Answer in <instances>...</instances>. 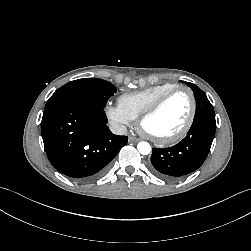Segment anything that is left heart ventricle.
<instances>
[{
  "mask_svg": "<svg viewBox=\"0 0 251 251\" xmlns=\"http://www.w3.org/2000/svg\"><path fill=\"white\" fill-rule=\"evenodd\" d=\"M190 110L189 95L184 91L177 92L154 115L145 120L143 128L158 138L172 136L184 126Z\"/></svg>",
  "mask_w": 251,
  "mask_h": 251,
  "instance_id": "left-heart-ventricle-1",
  "label": "left heart ventricle"
}]
</instances>
